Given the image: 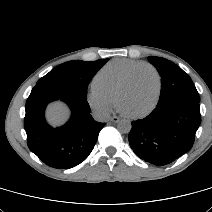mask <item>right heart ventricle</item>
Segmentation results:
<instances>
[{
	"instance_id": "1",
	"label": "right heart ventricle",
	"mask_w": 212,
	"mask_h": 212,
	"mask_svg": "<svg viewBox=\"0 0 212 212\" xmlns=\"http://www.w3.org/2000/svg\"><path fill=\"white\" fill-rule=\"evenodd\" d=\"M140 64L142 62L129 59L113 60L98 72L94 80L95 85L115 99L129 72Z\"/></svg>"
}]
</instances>
